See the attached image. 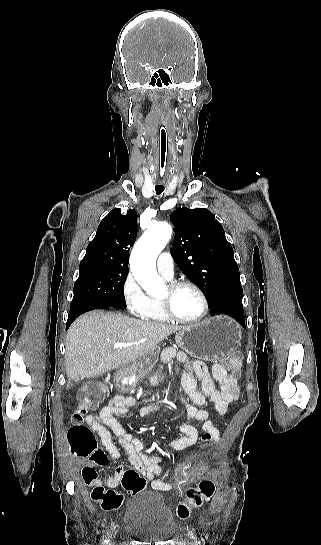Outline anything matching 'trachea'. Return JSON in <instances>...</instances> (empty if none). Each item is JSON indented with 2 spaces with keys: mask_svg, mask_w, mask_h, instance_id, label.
<instances>
[{
  "mask_svg": "<svg viewBox=\"0 0 321 545\" xmlns=\"http://www.w3.org/2000/svg\"><path fill=\"white\" fill-rule=\"evenodd\" d=\"M166 139H167V130H166V127L163 125L161 127V130H160V136H159V144L161 146V152L159 153V158H160V162H159V167L157 168V173L159 174V176L156 177V182H155V189H156V193L157 194H160L161 192H163L164 190V184H163V177L160 176V175H164L166 173V163H167V158H168V153L166 152Z\"/></svg>",
  "mask_w": 321,
  "mask_h": 545,
  "instance_id": "3493384b",
  "label": "trachea"
}]
</instances>
